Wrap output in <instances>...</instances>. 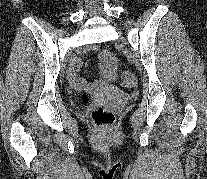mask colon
I'll use <instances>...</instances> for the list:
<instances>
[{
    "label": "colon",
    "mask_w": 207,
    "mask_h": 179,
    "mask_svg": "<svg viewBox=\"0 0 207 179\" xmlns=\"http://www.w3.org/2000/svg\"><path fill=\"white\" fill-rule=\"evenodd\" d=\"M133 84V73L126 71L122 74L121 85L124 88H130ZM81 102L84 105H89L91 102L90 96L87 93L81 94ZM92 120L98 126H109L114 123L115 116L112 111L103 107L95 108L91 113Z\"/></svg>",
    "instance_id": "obj_1"
}]
</instances>
